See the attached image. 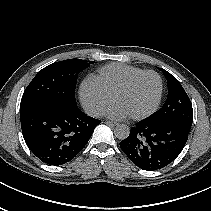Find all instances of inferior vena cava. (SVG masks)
I'll return each instance as SVG.
<instances>
[{
    "mask_svg": "<svg viewBox=\"0 0 211 211\" xmlns=\"http://www.w3.org/2000/svg\"><path fill=\"white\" fill-rule=\"evenodd\" d=\"M88 114L91 116H100L102 114V108L98 107L91 108Z\"/></svg>",
    "mask_w": 211,
    "mask_h": 211,
    "instance_id": "1",
    "label": "inferior vena cava"
}]
</instances>
